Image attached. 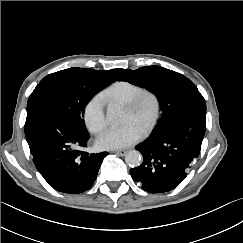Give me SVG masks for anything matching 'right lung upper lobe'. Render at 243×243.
<instances>
[{"instance_id": "right-lung-upper-lobe-1", "label": "right lung upper lobe", "mask_w": 243, "mask_h": 243, "mask_svg": "<svg viewBox=\"0 0 243 243\" xmlns=\"http://www.w3.org/2000/svg\"><path fill=\"white\" fill-rule=\"evenodd\" d=\"M71 69L78 72V74L81 76L107 80L111 83L114 82L123 71V69H112V70H94V69H87V68H71Z\"/></svg>"}]
</instances>
